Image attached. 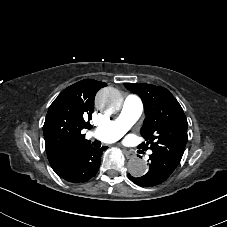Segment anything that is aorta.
Returning <instances> with one entry per match:
<instances>
[{"instance_id":"1","label":"aorta","mask_w":227,"mask_h":227,"mask_svg":"<svg viewBox=\"0 0 227 227\" xmlns=\"http://www.w3.org/2000/svg\"><path fill=\"white\" fill-rule=\"evenodd\" d=\"M122 96L115 88L101 89L96 96V105L103 109L107 114L117 112L122 106ZM128 172L134 177H141L148 170L147 162L135 157L128 161Z\"/></svg>"}]
</instances>
